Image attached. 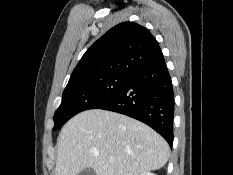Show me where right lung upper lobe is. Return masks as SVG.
Returning a JSON list of instances; mask_svg holds the SVG:
<instances>
[{
    "instance_id": "1",
    "label": "right lung upper lobe",
    "mask_w": 233,
    "mask_h": 175,
    "mask_svg": "<svg viewBox=\"0 0 233 175\" xmlns=\"http://www.w3.org/2000/svg\"><path fill=\"white\" fill-rule=\"evenodd\" d=\"M162 57L158 42L146 28L123 22L107 31L85 52L68 83L110 73L132 76Z\"/></svg>"
}]
</instances>
